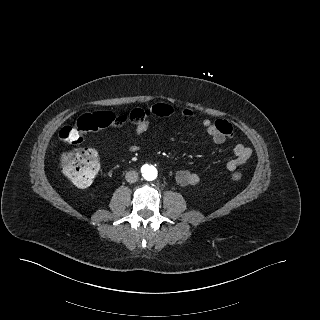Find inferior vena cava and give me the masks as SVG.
<instances>
[{
	"instance_id": "1",
	"label": "inferior vena cava",
	"mask_w": 320,
	"mask_h": 320,
	"mask_svg": "<svg viewBox=\"0 0 320 320\" xmlns=\"http://www.w3.org/2000/svg\"><path fill=\"white\" fill-rule=\"evenodd\" d=\"M125 179L129 183H134L138 180V173L135 171H128L125 175Z\"/></svg>"
}]
</instances>
